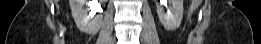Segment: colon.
Returning a JSON list of instances; mask_svg holds the SVG:
<instances>
[{"instance_id": "1", "label": "colon", "mask_w": 261, "mask_h": 44, "mask_svg": "<svg viewBox=\"0 0 261 44\" xmlns=\"http://www.w3.org/2000/svg\"><path fill=\"white\" fill-rule=\"evenodd\" d=\"M200 2H201L200 0H192L191 1V5H190L188 13H187V19L191 18L193 12L197 9V7L199 6Z\"/></svg>"}]
</instances>
